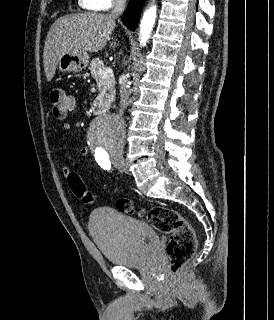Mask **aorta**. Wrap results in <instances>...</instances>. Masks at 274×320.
<instances>
[{"label":"aorta","mask_w":274,"mask_h":320,"mask_svg":"<svg viewBox=\"0 0 274 320\" xmlns=\"http://www.w3.org/2000/svg\"><path fill=\"white\" fill-rule=\"evenodd\" d=\"M156 6L149 7L143 14L140 23V45L145 46L151 36L156 19ZM125 140V124L120 116L107 115L99 118L90 131V141L98 156H108L118 152Z\"/></svg>","instance_id":"aorta-1"}]
</instances>
